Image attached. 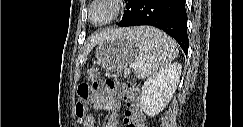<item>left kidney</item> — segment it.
<instances>
[{"instance_id":"obj_1","label":"left kidney","mask_w":243,"mask_h":127,"mask_svg":"<svg viewBox=\"0 0 243 127\" xmlns=\"http://www.w3.org/2000/svg\"><path fill=\"white\" fill-rule=\"evenodd\" d=\"M181 64L174 62L150 76L142 86L140 106L150 117L158 115L171 100L181 75Z\"/></svg>"}]
</instances>
